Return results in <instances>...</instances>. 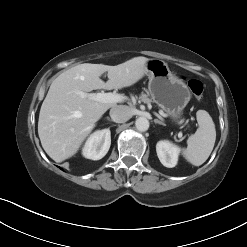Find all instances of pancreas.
<instances>
[{"instance_id":"obj_1","label":"pancreas","mask_w":247,"mask_h":247,"mask_svg":"<svg viewBox=\"0 0 247 247\" xmlns=\"http://www.w3.org/2000/svg\"><path fill=\"white\" fill-rule=\"evenodd\" d=\"M140 99H141V101H143L146 104H150L151 103V99L148 97L147 94H143L142 93L141 96H140Z\"/></svg>"}]
</instances>
